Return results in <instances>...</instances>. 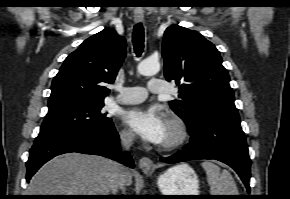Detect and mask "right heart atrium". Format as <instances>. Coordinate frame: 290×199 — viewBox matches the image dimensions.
Segmentation results:
<instances>
[{"label": "right heart atrium", "instance_id": "right-heart-atrium-1", "mask_svg": "<svg viewBox=\"0 0 290 199\" xmlns=\"http://www.w3.org/2000/svg\"><path fill=\"white\" fill-rule=\"evenodd\" d=\"M120 137H121V140L124 142V143H127V144H130L133 142L134 140V135L131 131L129 130H122L121 133H120Z\"/></svg>", "mask_w": 290, "mask_h": 199}]
</instances>
